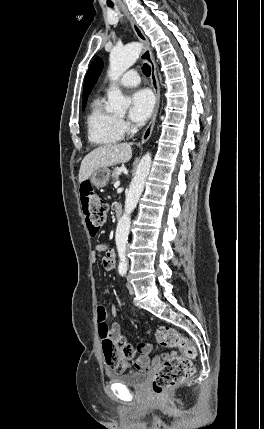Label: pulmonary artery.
Returning <instances> with one entry per match:
<instances>
[{
  "mask_svg": "<svg viewBox=\"0 0 264 429\" xmlns=\"http://www.w3.org/2000/svg\"><path fill=\"white\" fill-rule=\"evenodd\" d=\"M140 83L139 74L135 70H129L118 80V84L124 87L137 86Z\"/></svg>",
  "mask_w": 264,
  "mask_h": 429,
  "instance_id": "pulmonary-artery-1",
  "label": "pulmonary artery"
}]
</instances>
